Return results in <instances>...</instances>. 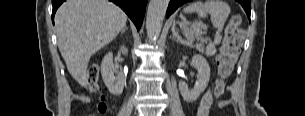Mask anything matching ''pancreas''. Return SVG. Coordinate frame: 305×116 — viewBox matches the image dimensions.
<instances>
[{"instance_id":"cf45deb5","label":"pancreas","mask_w":305,"mask_h":116,"mask_svg":"<svg viewBox=\"0 0 305 116\" xmlns=\"http://www.w3.org/2000/svg\"><path fill=\"white\" fill-rule=\"evenodd\" d=\"M207 42V39L206 38H200L199 40H198V43L196 44V49L197 50H199V51H204V43H206Z\"/></svg>"}]
</instances>
